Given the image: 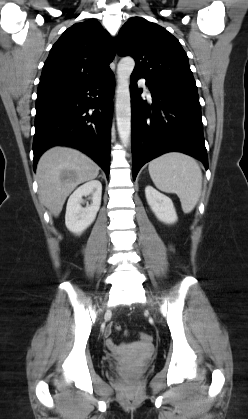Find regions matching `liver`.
Segmentation results:
<instances>
[{"mask_svg":"<svg viewBox=\"0 0 248 419\" xmlns=\"http://www.w3.org/2000/svg\"><path fill=\"white\" fill-rule=\"evenodd\" d=\"M99 166L82 152L56 146L39 159L36 169L41 203L58 217L66 198L81 183L95 179Z\"/></svg>","mask_w":248,"mask_h":419,"instance_id":"6515ba94","label":"liver"}]
</instances>
